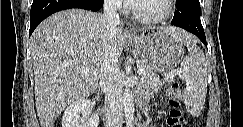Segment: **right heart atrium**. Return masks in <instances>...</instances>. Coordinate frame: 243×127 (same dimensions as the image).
Instances as JSON below:
<instances>
[{
    "mask_svg": "<svg viewBox=\"0 0 243 127\" xmlns=\"http://www.w3.org/2000/svg\"><path fill=\"white\" fill-rule=\"evenodd\" d=\"M105 4L109 9L113 11H117L122 7V1L120 0H107L105 1Z\"/></svg>",
    "mask_w": 243,
    "mask_h": 127,
    "instance_id": "d8ad5b80",
    "label": "right heart atrium"
}]
</instances>
